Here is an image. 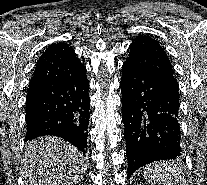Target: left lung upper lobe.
I'll list each match as a JSON object with an SVG mask.
<instances>
[{
  "label": "left lung upper lobe",
  "instance_id": "left-lung-upper-lobe-1",
  "mask_svg": "<svg viewBox=\"0 0 207 185\" xmlns=\"http://www.w3.org/2000/svg\"><path fill=\"white\" fill-rule=\"evenodd\" d=\"M129 50V57L125 62L129 69L155 77L178 93L179 86L169 58L157 41L147 36H138Z\"/></svg>",
  "mask_w": 207,
  "mask_h": 185
}]
</instances>
